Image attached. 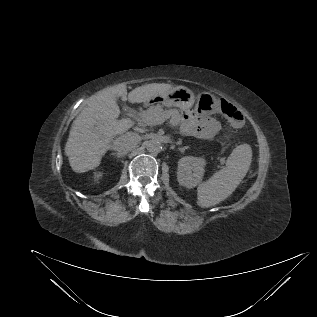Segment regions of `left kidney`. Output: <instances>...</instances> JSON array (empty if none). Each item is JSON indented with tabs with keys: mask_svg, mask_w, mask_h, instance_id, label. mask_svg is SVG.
<instances>
[{
	"mask_svg": "<svg viewBox=\"0 0 317 317\" xmlns=\"http://www.w3.org/2000/svg\"><path fill=\"white\" fill-rule=\"evenodd\" d=\"M206 160L193 156H185L178 161L177 180L181 186L196 187L204 175Z\"/></svg>",
	"mask_w": 317,
	"mask_h": 317,
	"instance_id": "left-kidney-1",
	"label": "left kidney"
}]
</instances>
